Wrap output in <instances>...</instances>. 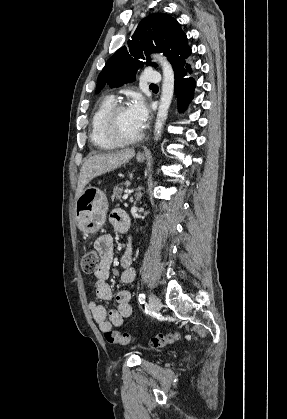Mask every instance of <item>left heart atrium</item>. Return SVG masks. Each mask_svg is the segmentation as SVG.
<instances>
[{
	"label": "left heart atrium",
	"mask_w": 287,
	"mask_h": 419,
	"mask_svg": "<svg viewBox=\"0 0 287 419\" xmlns=\"http://www.w3.org/2000/svg\"><path fill=\"white\" fill-rule=\"evenodd\" d=\"M127 109L136 125L142 129L148 118V107L144 99L139 95L135 96Z\"/></svg>",
	"instance_id": "39dd6f15"
}]
</instances>
